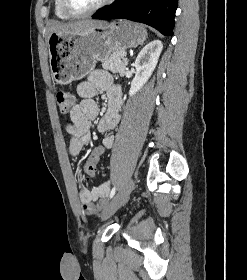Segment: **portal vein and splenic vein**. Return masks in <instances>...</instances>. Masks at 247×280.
<instances>
[{
  "label": "portal vein and splenic vein",
  "instance_id": "portal-vein-and-splenic-vein-1",
  "mask_svg": "<svg viewBox=\"0 0 247 280\" xmlns=\"http://www.w3.org/2000/svg\"><path fill=\"white\" fill-rule=\"evenodd\" d=\"M124 62H127V58H123Z\"/></svg>",
  "mask_w": 247,
  "mask_h": 280
}]
</instances>
